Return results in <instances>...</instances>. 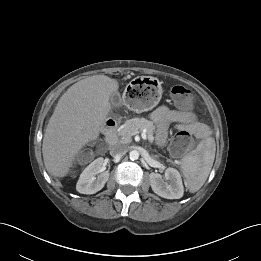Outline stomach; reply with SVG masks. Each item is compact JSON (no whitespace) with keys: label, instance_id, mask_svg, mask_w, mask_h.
Instances as JSON below:
<instances>
[{"label":"stomach","instance_id":"obj_1","mask_svg":"<svg viewBox=\"0 0 261 261\" xmlns=\"http://www.w3.org/2000/svg\"><path fill=\"white\" fill-rule=\"evenodd\" d=\"M162 96V87L153 77L134 78L126 87L123 103L130 110L142 113L153 109Z\"/></svg>","mask_w":261,"mask_h":261}]
</instances>
